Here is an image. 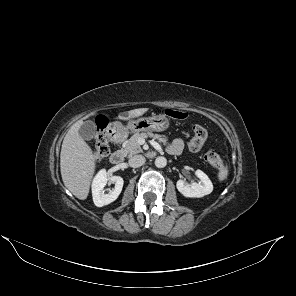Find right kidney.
I'll return each mask as SVG.
<instances>
[{"label": "right kidney", "instance_id": "ca27d5eb", "mask_svg": "<svg viewBox=\"0 0 296 296\" xmlns=\"http://www.w3.org/2000/svg\"><path fill=\"white\" fill-rule=\"evenodd\" d=\"M108 181L115 183V187L108 194H105L104 187ZM123 184L124 181L122 177H107L106 170H100L92 182V196L94 204L97 207H102L115 201L122 191Z\"/></svg>", "mask_w": 296, "mask_h": 296}]
</instances>
